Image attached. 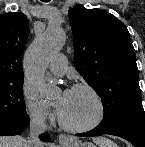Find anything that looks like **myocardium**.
<instances>
[{
	"label": "myocardium",
	"instance_id": "f54148a6",
	"mask_svg": "<svg viewBox=\"0 0 145 147\" xmlns=\"http://www.w3.org/2000/svg\"><path fill=\"white\" fill-rule=\"evenodd\" d=\"M72 90L87 91L95 100V103L97 106V114L92 121L84 125H70L67 122H65V120L61 117V115H59L58 120H59L60 126L64 130L71 132V133H85V132L94 130L104 121L105 115H106L105 104L100 94L97 92V90L94 87L86 83L76 84L72 87Z\"/></svg>",
	"mask_w": 145,
	"mask_h": 147
}]
</instances>
